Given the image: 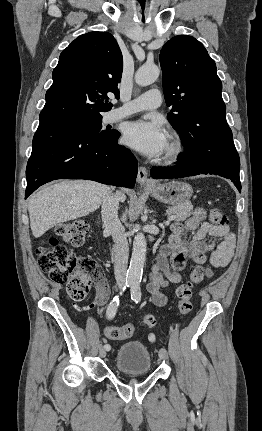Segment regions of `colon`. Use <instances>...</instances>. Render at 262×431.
Masks as SVG:
<instances>
[{"label":"colon","mask_w":262,"mask_h":431,"mask_svg":"<svg viewBox=\"0 0 262 431\" xmlns=\"http://www.w3.org/2000/svg\"><path fill=\"white\" fill-rule=\"evenodd\" d=\"M209 223L213 226L227 225V216L219 209L212 208L209 212ZM87 228L84 224L74 222L61 225L60 240L51 237L37 249V261L49 280L65 285L69 297L74 301L84 300L90 292L93 278H98L101 271L94 260L88 257H76L68 246L81 245L85 240ZM66 243V244H65ZM204 270L197 267L189 279L176 289L178 311L181 316L188 315L192 310V288L203 281ZM143 323L147 328L156 325L153 315H146ZM135 332L132 324L112 326L106 329V336L111 340H125Z\"/></svg>","instance_id":"colon-1"}]
</instances>
